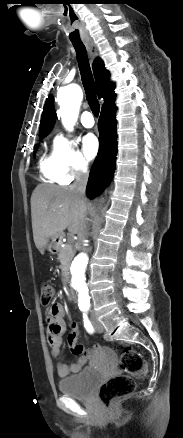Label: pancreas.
<instances>
[{
	"instance_id": "1",
	"label": "pancreas",
	"mask_w": 183,
	"mask_h": 438,
	"mask_svg": "<svg viewBox=\"0 0 183 438\" xmlns=\"http://www.w3.org/2000/svg\"><path fill=\"white\" fill-rule=\"evenodd\" d=\"M74 257V248L70 243H67L65 247L59 249L58 259L61 262L60 269L63 274L68 270L71 260Z\"/></svg>"
}]
</instances>
